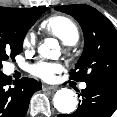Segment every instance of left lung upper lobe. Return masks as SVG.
<instances>
[{
    "label": "left lung upper lobe",
    "mask_w": 117,
    "mask_h": 117,
    "mask_svg": "<svg viewBox=\"0 0 117 117\" xmlns=\"http://www.w3.org/2000/svg\"><path fill=\"white\" fill-rule=\"evenodd\" d=\"M55 9L73 16L84 33V50L70 78L86 83L98 79L117 80V31L113 24L88 5H64Z\"/></svg>",
    "instance_id": "1"
}]
</instances>
